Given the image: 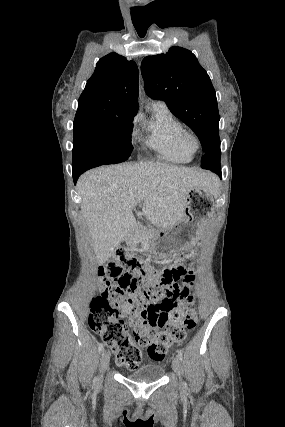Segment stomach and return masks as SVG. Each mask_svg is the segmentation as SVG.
Segmentation results:
<instances>
[{"mask_svg": "<svg viewBox=\"0 0 285 427\" xmlns=\"http://www.w3.org/2000/svg\"><path fill=\"white\" fill-rule=\"evenodd\" d=\"M215 212V199L211 191L200 187L191 189L186 196L182 219L172 228L155 234L149 244L150 253L157 258L191 243L211 220Z\"/></svg>", "mask_w": 285, "mask_h": 427, "instance_id": "obj_1", "label": "stomach"}]
</instances>
